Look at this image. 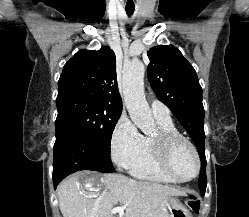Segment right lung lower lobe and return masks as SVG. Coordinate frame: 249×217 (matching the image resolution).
<instances>
[{"label": "right lung lower lobe", "mask_w": 249, "mask_h": 217, "mask_svg": "<svg viewBox=\"0 0 249 217\" xmlns=\"http://www.w3.org/2000/svg\"><path fill=\"white\" fill-rule=\"evenodd\" d=\"M54 188L66 176L80 170L112 172L110 153L100 149L81 133L68 125L56 126L53 148Z\"/></svg>", "instance_id": "right-lung-lower-lobe-1"}]
</instances>
